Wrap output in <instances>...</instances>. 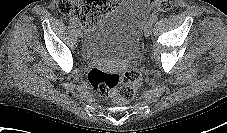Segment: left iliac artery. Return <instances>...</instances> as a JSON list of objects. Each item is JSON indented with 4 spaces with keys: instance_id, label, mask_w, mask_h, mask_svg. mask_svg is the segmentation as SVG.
Here are the masks:
<instances>
[{
    "instance_id": "obj_1",
    "label": "left iliac artery",
    "mask_w": 227,
    "mask_h": 133,
    "mask_svg": "<svg viewBox=\"0 0 227 133\" xmlns=\"http://www.w3.org/2000/svg\"><path fill=\"white\" fill-rule=\"evenodd\" d=\"M158 20V14H152V16L150 17V22L153 24Z\"/></svg>"
}]
</instances>
